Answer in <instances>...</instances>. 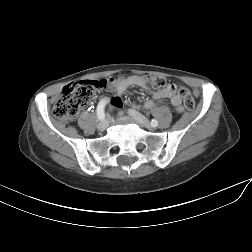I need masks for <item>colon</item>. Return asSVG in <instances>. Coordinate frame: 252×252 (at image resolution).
I'll use <instances>...</instances> for the list:
<instances>
[{
    "mask_svg": "<svg viewBox=\"0 0 252 252\" xmlns=\"http://www.w3.org/2000/svg\"><path fill=\"white\" fill-rule=\"evenodd\" d=\"M142 78L155 89L176 90V85L172 82H168L163 77L145 76ZM107 84L108 80H83L65 86L60 98L54 105V116L64 122L74 119L78 113L89 104L97 91ZM178 93L183 99L185 108L193 110L195 107V100L191 92L187 88L181 87L178 89Z\"/></svg>",
    "mask_w": 252,
    "mask_h": 252,
    "instance_id": "1",
    "label": "colon"
}]
</instances>
